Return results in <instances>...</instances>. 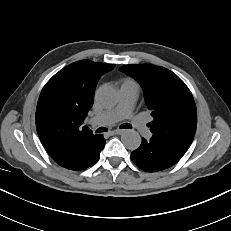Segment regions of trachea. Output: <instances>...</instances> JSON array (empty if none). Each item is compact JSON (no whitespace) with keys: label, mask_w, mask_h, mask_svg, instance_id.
<instances>
[{"label":"trachea","mask_w":231,"mask_h":231,"mask_svg":"<svg viewBox=\"0 0 231 231\" xmlns=\"http://www.w3.org/2000/svg\"><path fill=\"white\" fill-rule=\"evenodd\" d=\"M120 128H123V129H130V128H132V126H131L130 124H128V123H125V124L120 125ZM106 131H108L107 128H105V127H100V128H98V129L96 130V133H101V132H106Z\"/></svg>","instance_id":"3493384b"}]
</instances>
